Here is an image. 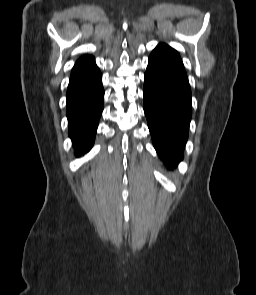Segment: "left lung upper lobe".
<instances>
[{
    "mask_svg": "<svg viewBox=\"0 0 256 295\" xmlns=\"http://www.w3.org/2000/svg\"><path fill=\"white\" fill-rule=\"evenodd\" d=\"M149 62L172 68L186 74L182 60L176 50L166 44H159L149 56Z\"/></svg>",
    "mask_w": 256,
    "mask_h": 295,
    "instance_id": "obj_1",
    "label": "left lung upper lobe"
}]
</instances>
